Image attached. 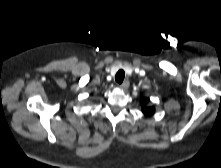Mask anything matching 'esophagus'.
<instances>
[{
	"instance_id": "obj_1",
	"label": "esophagus",
	"mask_w": 221,
	"mask_h": 168,
	"mask_svg": "<svg viewBox=\"0 0 221 168\" xmlns=\"http://www.w3.org/2000/svg\"><path fill=\"white\" fill-rule=\"evenodd\" d=\"M121 89H127L129 87V82L126 80L119 86Z\"/></svg>"
}]
</instances>
